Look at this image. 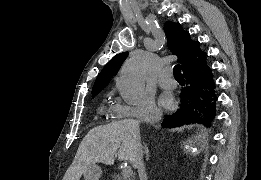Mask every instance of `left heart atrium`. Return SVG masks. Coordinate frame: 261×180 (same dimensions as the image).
Wrapping results in <instances>:
<instances>
[{"mask_svg": "<svg viewBox=\"0 0 261 180\" xmlns=\"http://www.w3.org/2000/svg\"><path fill=\"white\" fill-rule=\"evenodd\" d=\"M159 103L163 108H170L172 105V98L169 94L163 93L160 96Z\"/></svg>", "mask_w": 261, "mask_h": 180, "instance_id": "left-heart-atrium-1", "label": "left heart atrium"}]
</instances>
